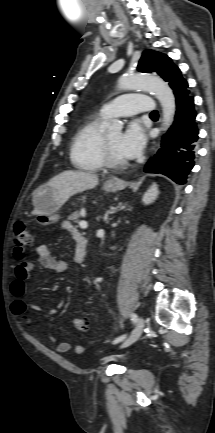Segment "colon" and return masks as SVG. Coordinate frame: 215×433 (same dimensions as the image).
Listing matches in <instances>:
<instances>
[{
    "mask_svg": "<svg viewBox=\"0 0 215 433\" xmlns=\"http://www.w3.org/2000/svg\"><path fill=\"white\" fill-rule=\"evenodd\" d=\"M34 241L33 230L24 222H18L14 229V242L17 246V256H24L23 248L32 244ZM75 328L80 332H87L90 329V322L84 318L74 320Z\"/></svg>",
    "mask_w": 215,
    "mask_h": 433,
    "instance_id": "1",
    "label": "colon"
}]
</instances>
